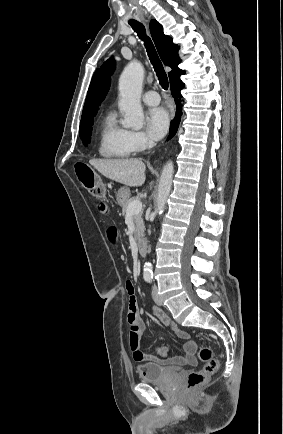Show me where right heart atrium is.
I'll return each mask as SVG.
<instances>
[{"label": "right heart atrium", "instance_id": "1", "mask_svg": "<svg viewBox=\"0 0 283 434\" xmlns=\"http://www.w3.org/2000/svg\"><path fill=\"white\" fill-rule=\"evenodd\" d=\"M127 139L132 152H141L152 145V140L143 131L128 130Z\"/></svg>", "mask_w": 283, "mask_h": 434}]
</instances>
